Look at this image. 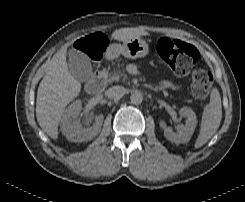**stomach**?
Here are the masks:
<instances>
[{
	"instance_id": "stomach-1",
	"label": "stomach",
	"mask_w": 245,
	"mask_h": 202,
	"mask_svg": "<svg viewBox=\"0 0 245 202\" xmlns=\"http://www.w3.org/2000/svg\"><path fill=\"white\" fill-rule=\"evenodd\" d=\"M109 50L113 57L122 54L126 58L136 59L148 55L149 46L145 40L136 37L123 41L122 44H112Z\"/></svg>"
}]
</instances>
